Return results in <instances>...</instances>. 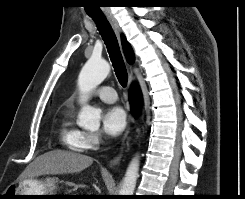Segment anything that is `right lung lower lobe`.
Instances as JSON below:
<instances>
[{
    "instance_id": "1",
    "label": "right lung lower lobe",
    "mask_w": 245,
    "mask_h": 199,
    "mask_svg": "<svg viewBox=\"0 0 245 199\" xmlns=\"http://www.w3.org/2000/svg\"><path fill=\"white\" fill-rule=\"evenodd\" d=\"M131 107L134 113H137L138 107H139V102H140V96L137 92H135V88H131V92L129 95Z\"/></svg>"
}]
</instances>
